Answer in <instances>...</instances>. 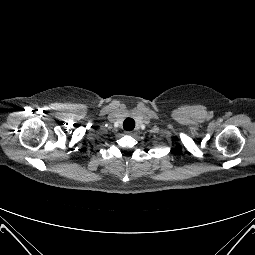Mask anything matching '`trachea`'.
Returning <instances> with one entry per match:
<instances>
[{
	"instance_id": "obj_1",
	"label": "trachea",
	"mask_w": 255,
	"mask_h": 255,
	"mask_svg": "<svg viewBox=\"0 0 255 255\" xmlns=\"http://www.w3.org/2000/svg\"><path fill=\"white\" fill-rule=\"evenodd\" d=\"M123 127L127 131H131L135 128V121L132 118H126L123 123Z\"/></svg>"
}]
</instances>
